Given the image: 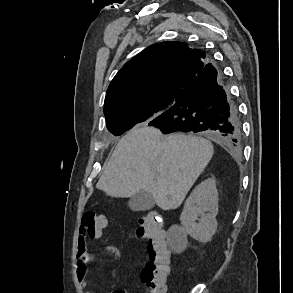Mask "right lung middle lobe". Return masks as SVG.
<instances>
[{"label":"right lung middle lobe","instance_id":"1","mask_svg":"<svg viewBox=\"0 0 293 293\" xmlns=\"http://www.w3.org/2000/svg\"><path fill=\"white\" fill-rule=\"evenodd\" d=\"M174 102L175 99L173 100V104ZM162 107L163 106L161 104L156 109L139 110L135 112L111 116L108 119H106L107 128L115 136L121 135L125 131L131 129L137 123L151 120L153 114L158 110H162Z\"/></svg>","mask_w":293,"mask_h":293}]
</instances>
